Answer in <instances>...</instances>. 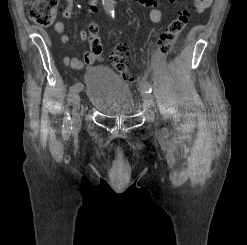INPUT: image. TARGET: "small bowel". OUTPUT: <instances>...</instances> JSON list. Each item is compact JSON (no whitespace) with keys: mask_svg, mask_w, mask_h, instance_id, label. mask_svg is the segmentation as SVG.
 I'll list each match as a JSON object with an SVG mask.
<instances>
[{"mask_svg":"<svg viewBox=\"0 0 247 245\" xmlns=\"http://www.w3.org/2000/svg\"><path fill=\"white\" fill-rule=\"evenodd\" d=\"M67 5L62 12V17L65 19H70L73 16L74 0H66ZM141 5L146 7H151L150 19L154 23H159L164 18V11L157 8L159 0H137ZM214 0H195V8L197 12H202L209 8ZM168 2L173 3L175 0H168ZM97 11V1L90 0L89 9L87 14H93ZM54 30L60 35V41L63 45H67L69 42V37L65 33V25L62 21H58L54 25ZM81 40H86L87 35L84 31L79 33ZM96 55L91 51L85 52L83 59H78L74 57L66 56L64 58V64L73 69H82L85 65H91L95 62Z\"/></svg>","mask_w":247,"mask_h":245,"instance_id":"small-bowel-1","label":"small bowel"}]
</instances>
